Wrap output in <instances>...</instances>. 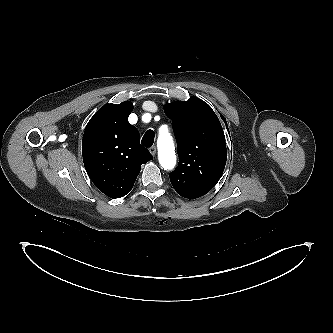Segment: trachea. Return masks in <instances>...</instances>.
<instances>
[{"instance_id":"obj_1","label":"trachea","mask_w":333,"mask_h":333,"mask_svg":"<svg viewBox=\"0 0 333 333\" xmlns=\"http://www.w3.org/2000/svg\"><path fill=\"white\" fill-rule=\"evenodd\" d=\"M154 137H155L154 131L148 130L141 140L142 145H144L145 147H151L154 142Z\"/></svg>"}]
</instances>
